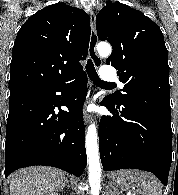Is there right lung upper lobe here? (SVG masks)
<instances>
[{
	"mask_svg": "<svg viewBox=\"0 0 178 195\" xmlns=\"http://www.w3.org/2000/svg\"><path fill=\"white\" fill-rule=\"evenodd\" d=\"M89 39L90 19L81 9L62 2L32 15L12 49L10 94L59 85L82 72Z\"/></svg>",
	"mask_w": 178,
	"mask_h": 195,
	"instance_id": "obj_1",
	"label": "right lung upper lobe"
}]
</instances>
